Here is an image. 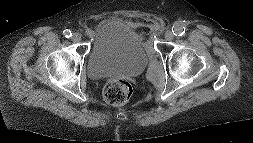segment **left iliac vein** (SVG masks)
Masks as SVG:
<instances>
[{
    "mask_svg": "<svg viewBox=\"0 0 253 143\" xmlns=\"http://www.w3.org/2000/svg\"><path fill=\"white\" fill-rule=\"evenodd\" d=\"M174 38V34L171 30L166 31L165 33V39L167 41H171Z\"/></svg>",
    "mask_w": 253,
    "mask_h": 143,
    "instance_id": "4c4485c4",
    "label": "left iliac vein"
}]
</instances>
